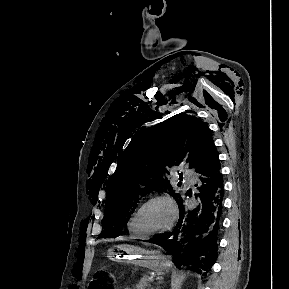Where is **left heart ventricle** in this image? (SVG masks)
Instances as JSON below:
<instances>
[{
    "label": "left heart ventricle",
    "instance_id": "b2bd125f",
    "mask_svg": "<svg viewBox=\"0 0 289 289\" xmlns=\"http://www.w3.org/2000/svg\"><path fill=\"white\" fill-rule=\"evenodd\" d=\"M172 217L169 205L164 201H153L146 205L137 219V226L143 232H153L166 227Z\"/></svg>",
    "mask_w": 289,
    "mask_h": 289
}]
</instances>
